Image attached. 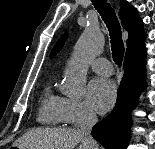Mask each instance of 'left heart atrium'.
<instances>
[{
    "mask_svg": "<svg viewBox=\"0 0 155 149\" xmlns=\"http://www.w3.org/2000/svg\"><path fill=\"white\" fill-rule=\"evenodd\" d=\"M116 100L115 84L108 79L96 78L87 88L86 101L90 108L100 114L108 112Z\"/></svg>",
    "mask_w": 155,
    "mask_h": 149,
    "instance_id": "39dd6f15",
    "label": "left heart atrium"
}]
</instances>
